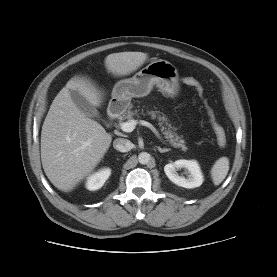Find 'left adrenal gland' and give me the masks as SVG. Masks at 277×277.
Segmentation results:
<instances>
[{"label": "left adrenal gland", "instance_id": "1", "mask_svg": "<svg viewBox=\"0 0 277 277\" xmlns=\"http://www.w3.org/2000/svg\"><path fill=\"white\" fill-rule=\"evenodd\" d=\"M157 148H158V151H159L160 153L168 152V151L171 150V149H168V148H161L160 146H158Z\"/></svg>", "mask_w": 277, "mask_h": 277}]
</instances>
